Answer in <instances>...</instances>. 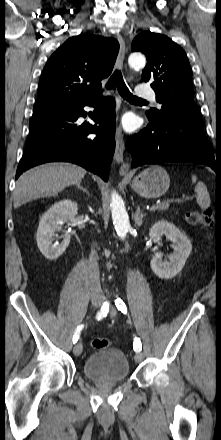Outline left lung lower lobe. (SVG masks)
<instances>
[{"label":"left lung lower lobe","mask_w":221,"mask_h":440,"mask_svg":"<svg viewBox=\"0 0 221 440\" xmlns=\"http://www.w3.org/2000/svg\"><path fill=\"white\" fill-rule=\"evenodd\" d=\"M128 139L127 150L133 155L132 167L164 162H193L221 173V157L216 155L204 133V122L172 114L153 121Z\"/></svg>","instance_id":"left-lung-lower-lobe-1"}]
</instances>
